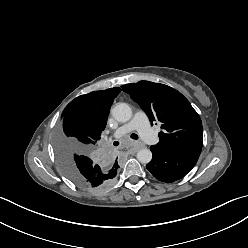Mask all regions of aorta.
Instances as JSON below:
<instances>
[{"mask_svg": "<svg viewBox=\"0 0 248 248\" xmlns=\"http://www.w3.org/2000/svg\"><path fill=\"white\" fill-rule=\"evenodd\" d=\"M112 116L118 122H127L132 117V110L126 103H118L111 111ZM137 159L143 164H147L152 159V153L149 149L143 148L137 152Z\"/></svg>", "mask_w": 248, "mask_h": 248, "instance_id": "1", "label": "aorta"}]
</instances>
